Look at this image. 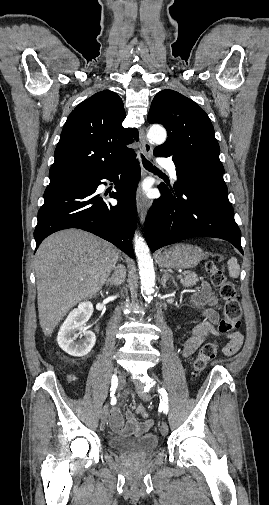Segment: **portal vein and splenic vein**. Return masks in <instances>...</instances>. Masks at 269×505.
Wrapping results in <instances>:
<instances>
[{
	"mask_svg": "<svg viewBox=\"0 0 269 505\" xmlns=\"http://www.w3.org/2000/svg\"><path fill=\"white\" fill-rule=\"evenodd\" d=\"M177 278H178V279H181V278H182V275H178V276H177Z\"/></svg>",
	"mask_w": 269,
	"mask_h": 505,
	"instance_id": "obj_1",
	"label": "portal vein and splenic vein"
}]
</instances>
